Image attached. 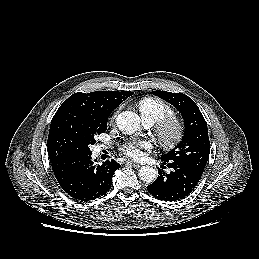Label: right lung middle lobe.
I'll use <instances>...</instances> for the list:
<instances>
[{"label": "right lung middle lobe", "mask_w": 259, "mask_h": 259, "mask_svg": "<svg viewBox=\"0 0 259 259\" xmlns=\"http://www.w3.org/2000/svg\"><path fill=\"white\" fill-rule=\"evenodd\" d=\"M107 129V120L89 114L63 110L56 112L50 125L47 147L49 159L91 153L96 136Z\"/></svg>", "instance_id": "1"}]
</instances>
